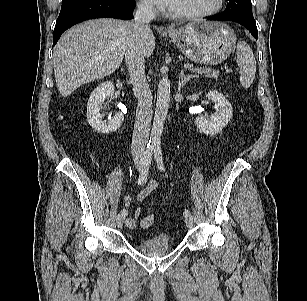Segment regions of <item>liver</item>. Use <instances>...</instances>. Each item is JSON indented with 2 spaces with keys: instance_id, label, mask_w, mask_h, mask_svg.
<instances>
[{
  "instance_id": "6515ba94",
  "label": "liver",
  "mask_w": 307,
  "mask_h": 301,
  "mask_svg": "<svg viewBox=\"0 0 307 301\" xmlns=\"http://www.w3.org/2000/svg\"><path fill=\"white\" fill-rule=\"evenodd\" d=\"M134 37V23L95 19L69 29L54 50L58 91L69 96L81 85L113 73L122 63L127 44ZM155 37L151 29L144 38V57L152 55Z\"/></svg>"
}]
</instances>
